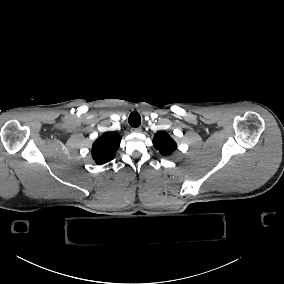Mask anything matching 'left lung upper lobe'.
I'll return each instance as SVG.
<instances>
[{
  "instance_id": "5c2ea615",
  "label": "left lung upper lobe",
  "mask_w": 284,
  "mask_h": 284,
  "mask_svg": "<svg viewBox=\"0 0 284 284\" xmlns=\"http://www.w3.org/2000/svg\"><path fill=\"white\" fill-rule=\"evenodd\" d=\"M154 147L164 155H170L176 149L175 141L165 132H158L153 139Z\"/></svg>"
}]
</instances>
